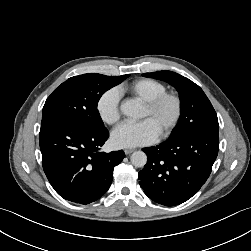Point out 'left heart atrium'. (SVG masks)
<instances>
[{"instance_id": "obj_1", "label": "left heart atrium", "mask_w": 251, "mask_h": 251, "mask_svg": "<svg viewBox=\"0 0 251 251\" xmlns=\"http://www.w3.org/2000/svg\"><path fill=\"white\" fill-rule=\"evenodd\" d=\"M159 132L147 118L137 123H122L112 133V143L119 148H132L154 142Z\"/></svg>"}]
</instances>
